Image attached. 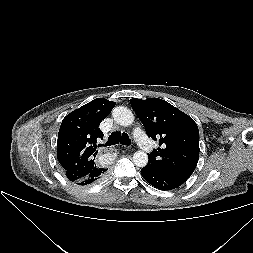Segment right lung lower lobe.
Returning a JSON list of instances; mask_svg holds the SVG:
<instances>
[{"mask_svg": "<svg viewBox=\"0 0 253 253\" xmlns=\"http://www.w3.org/2000/svg\"><path fill=\"white\" fill-rule=\"evenodd\" d=\"M106 170L107 169L100 168V169L92 172L89 175V177H87L86 179H84V180H82L80 182H76V184L84 186V185H89L91 183H94V182H96L97 180H99L103 176V174L105 173Z\"/></svg>", "mask_w": 253, "mask_h": 253, "instance_id": "98d812e1", "label": "right lung lower lobe"}]
</instances>
